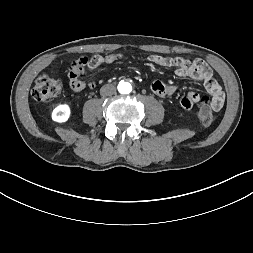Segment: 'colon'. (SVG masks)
I'll return each instance as SVG.
<instances>
[{
    "label": "colon",
    "instance_id": "1",
    "mask_svg": "<svg viewBox=\"0 0 253 253\" xmlns=\"http://www.w3.org/2000/svg\"><path fill=\"white\" fill-rule=\"evenodd\" d=\"M115 58L112 55H96L90 60V67L94 68L102 63H110ZM85 64L74 59L69 66L68 88L71 92L80 94L89 91L93 87V82L89 78H84ZM84 78V79H83ZM62 90V83L59 79L47 74L38 76L34 82L31 94L36 101H46L48 99L57 97ZM200 123L204 127H209L215 120V114L207 99H203L198 112Z\"/></svg>",
    "mask_w": 253,
    "mask_h": 253
}]
</instances>
